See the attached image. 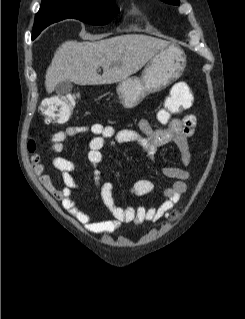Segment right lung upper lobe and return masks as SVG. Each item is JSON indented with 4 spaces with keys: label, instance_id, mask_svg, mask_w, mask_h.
<instances>
[{
    "label": "right lung upper lobe",
    "instance_id": "obj_1",
    "mask_svg": "<svg viewBox=\"0 0 245 319\" xmlns=\"http://www.w3.org/2000/svg\"><path fill=\"white\" fill-rule=\"evenodd\" d=\"M51 1H59V0H42L40 10L35 17V22L39 27L45 28L49 24L58 21L55 17L52 16L53 7H52V4H49V2ZM43 29L34 27L33 37H36L40 33V31H42Z\"/></svg>",
    "mask_w": 245,
    "mask_h": 319
}]
</instances>
